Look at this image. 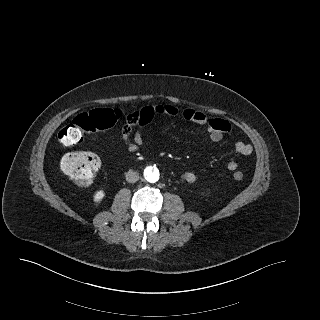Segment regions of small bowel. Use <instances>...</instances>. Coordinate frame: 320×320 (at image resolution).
Here are the masks:
<instances>
[{"instance_id":"1","label":"small bowel","mask_w":320,"mask_h":320,"mask_svg":"<svg viewBox=\"0 0 320 320\" xmlns=\"http://www.w3.org/2000/svg\"><path fill=\"white\" fill-rule=\"evenodd\" d=\"M181 115L184 120L203 125L206 127L209 139L213 142H220L224 135L229 132L230 124L226 120L211 119L204 113L194 109H184L180 111L172 105L159 104L154 106H145L139 110L133 111L128 115L126 123L122 128V142L127 151L134 153L144 143V132L147 125L158 116H177ZM146 117L148 122L137 124L136 120ZM136 126V129L133 128ZM235 151L239 156H249L253 148L250 144L239 141L235 144ZM237 161H230L227 165L230 171L238 169ZM181 180L185 183L192 184L197 180V175L192 171H186L181 175Z\"/></svg>"}]
</instances>
